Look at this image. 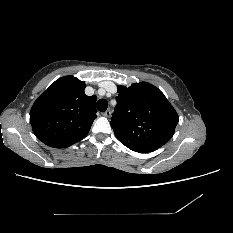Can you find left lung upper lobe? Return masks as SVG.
Instances as JSON below:
<instances>
[{"label":"left lung upper lobe","instance_id":"1","mask_svg":"<svg viewBox=\"0 0 233 233\" xmlns=\"http://www.w3.org/2000/svg\"><path fill=\"white\" fill-rule=\"evenodd\" d=\"M117 106L111 126L117 139L129 149L152 152L167 143L178 124V115L155 86L140 82L118 86Z\"/></svg>","mask_w":233,"mask_h":233}]
</instances>
